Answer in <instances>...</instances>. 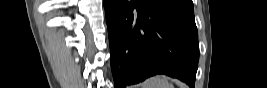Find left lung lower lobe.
Wrapping results in <instances>:
<instances>
[{"label":"left lung lower lobe","instance_id":"left-lung-lower-lobe-1","mask_svg":"<svg viewBox=\"0 0 267 88\" xmlns=\"http://www.w3.org/2000/svg\"><path fill=\"white\" fill-rule=\"evenodd\" d=\"M115 88L157 73L194 88L199 58L193 7L176 0H104Z\"/></svg>","mask_w":267,"mask_h":88}]
</instances>
